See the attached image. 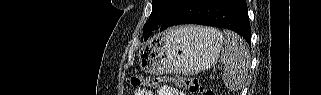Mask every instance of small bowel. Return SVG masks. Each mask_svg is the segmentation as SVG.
Segmentation results:
<instances>
[{"mask_svg":"<svg viewBox=\"0 0 321 95\" xmlns=\"http://www.w3.org/2000/svg\"><path fill=\"white\" fill-rule=\"evenodd\" d=\"M148 94L150 95L151 93H147L142 89H138L136 91V95H148ZM159 95H184V93L174 87L164 86L160 89Z\"/></svg>","mask_w":321,"mask_h":95,"instance_id":"1","label":"small bowel"}]
</instances>
